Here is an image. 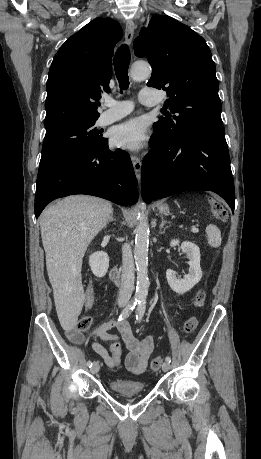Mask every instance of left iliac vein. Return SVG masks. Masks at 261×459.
Wrapping results in <instances>:
<instances>
[{
	"mask_svg": "<svg viewBox=\"0 0 261 459\" xmlns=\"http://www.w3.org/2000/svg\"><path fill=\"white\" fill-rule=\"evenodd\" d=\"M169 369H170V364H169V362H167V361L164 362V363L162 364V370H163L164 372H167V371H169Z\"/></svg>",
	"mask_w": 261,
	"mask_h": 459,
	"instance_id": "4c4485c4",
	"label": "left iliac vein"
}]
</instances>
